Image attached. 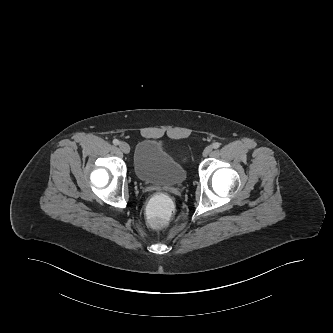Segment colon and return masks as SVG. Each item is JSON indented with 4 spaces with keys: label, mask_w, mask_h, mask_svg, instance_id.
<instances>
[{
    "label": "colon",
    "mask_w": 333,
    "mask_h": 333,
    "mask_svg": "<svg viewBox=\"0 0 333 333\" xmlns=\"http://www.w3.org/2000/svg\"><path fill=\"white\" fill-rule=\"evenodd\" d=\"M173 207V201L168 194L156 193L147 205L148 223L156 229L164 228L169 223V213Z\"/></svg>",
    "instance_id": "colon-1"
}]
</instances>
